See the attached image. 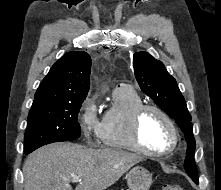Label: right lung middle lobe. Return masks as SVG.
I'll return each instance as SVG.
<instances>
[{"label": "right lung middle lobe", "instance_id": "dd1d6c3e", "mask_svg": "<svg viewBox=\"0 0 221 190\" xmlns=\"http://www.w3.org/2000/svg\"><path fill=\"white\" fill-rule=\"evenodd\" d=\"M83 101L32 106L25 134V154L53 142L80 137L78 113Z\"/></svg>", "mask_w": 221, "mask_h": 190}]
</instances>
